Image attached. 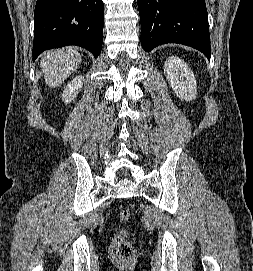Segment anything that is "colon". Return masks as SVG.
Returning a JSON list of instances; mask_svg holds the SVG:
<instances>
[{
    "instance_id": "1",
    "label": "colon",
    "mask_w": 253,
    "mask_h": 271,
    "mask_svg": "<svg viewBox=\"0 0 253 271\" xmlns=\"http://www.w3.org/2000/svg\"><path fill=\"white\" fill-rule=\"evenodd\" d=\"M131 219V212L128 209L119 212V220L123 223ZM131 233L127 229H119L112 241V254L120 262H130L134 256V247L130 242Z\"/></svg>"
}]
</instances>
